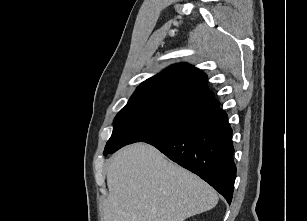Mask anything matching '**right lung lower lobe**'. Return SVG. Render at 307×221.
<instances>
[{"label": "right lung lower lobe", "mask_w": 307, "mask_h": 221, "mask_svg": "<svg viewBox=\"0 0 307 221\" xmlns=\"http://www.w3.org/2000/svg\"><path fill=\"white\" fill-rule=\"evenodd\" d=\"M227 118L218 106L185 129L147 143L200 176L230 203L236 166L232 129Z\"/></svg>", "instance_id": "obj_1"}]
</instances>
